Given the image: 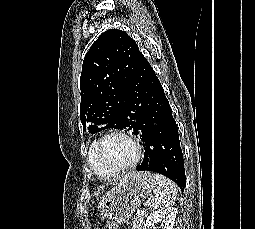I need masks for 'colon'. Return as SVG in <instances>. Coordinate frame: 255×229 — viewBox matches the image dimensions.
<instances>
[{"instance_id":"colon-1","label":"colon","mask_w":255,"mask_h":229,"mask_svg":"<svg viewBox=\"0 0 255 229\" xmlns=\"http://www.w3.org/2000/svg\"><path fill=\"white\" fill-rule=\"evenodd\" d=\"M104 229H116L113 225L108 224Z\"/></svg>"}]
</instances>
